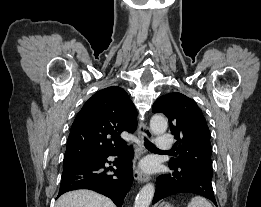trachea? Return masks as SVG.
I'll list each match as a JSON object with an SVG mask.
<instances>
[{"label": "trachea", "instance_id": "1", "mask_svg": "<svg viewBox=\"0 0 261 207\" xmlns=\"http://www.w3.org/2000/svg\"><path fill=\"white\" fill-rule=\"evenodd\" d=\"M144 145L148 150H159L152 143H150L146 138L144 139Z\"/></svg>", "mask_w": 261, "mask_h": 207}]
</instances>
